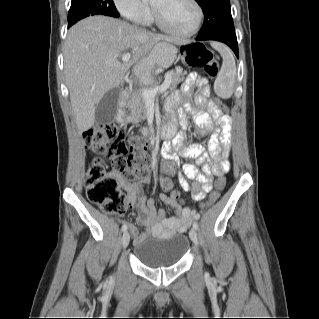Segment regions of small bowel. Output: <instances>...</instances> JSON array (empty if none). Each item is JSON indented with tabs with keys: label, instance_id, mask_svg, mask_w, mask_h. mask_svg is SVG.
Returning <instances> with one entry per match:
<instances>
[{
	"label": "small bowel",
	"instance_id": "1",
	"mask_svg": "<svg viewBox=\"0 0 319 319\" xmlns=\"http://www.w3.org/2000/svg\"><path fill=\"white\" fill-rule=\"evenodd\" d=\"M208 96L209 89L205 80L197 72H191L182 82L180 90L170 96L167 102V109L171 113L175 112L178 105L184 108L179 109L178 115L185 130L194 126L198 136L210 135L208 149L215 161L213 166L206 161L205 147L197 143L185 145L184 134L176 136L172 145L164 149L166 162L162 167V172L165 175L174 172L180 156L197 160V166L201 167V172L193 163H186L183 165V172L178 176L179 185L190 194L191 199L195 202L203 200L211 191L214 176L224 175L230 169L228 149L231 144L232 118L221 110L213 109L211 102L208 101ZM186 113L192 117V120L188 118ZM114 176L119 187L127 194L128 205L138 206L139 215L136 218V223L146 228V234L162 235L185 231L192 220L199 218L194 207H182L171 195L159 193L147 198L143 193V186L149 181L148 178L129 182L119 175ZM156 200L174 207L175 214L166 218L164 211L156 209ZM122 224L127 226L128 231L135 238V242H140L145 237V235L139 234L136 225L128 222H122Z\"/></svg>",
	"mask_w": 319,
	"mask_h": 319
}]
</instances>
